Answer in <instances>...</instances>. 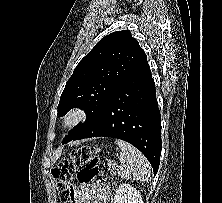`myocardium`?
I'll return each instance as SVG.
<instances>
[{
	"instance_id": "f54148a6",
	"label": "myocardium",
	"mask_w": 222,
	"mask_h": 203,
	"mask_svg": "<svg viewBox=\"0 0 222 203\" xmlns=\"http://www.w3.org/2000/svg\"><path fill=\"white\" fill-rule=\"evenodd\" d=\"M88 118V112L82 107L69 109L62 117L61 125L64 129H73L81 125Z\"/></svg>"
}]
</instances>
